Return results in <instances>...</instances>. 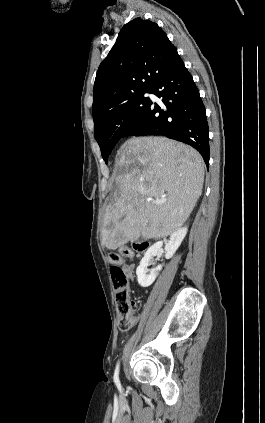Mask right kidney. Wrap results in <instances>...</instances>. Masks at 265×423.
I'll return each instance as SVG.
<instances>
[{"mask_svg": "<svg viewBox=\"0 0 265 423\" xmlns=\"http://www.w3.org/2000/svg\"><path fill=\"white\" fill-rule=\"evenodd\" d=\"M187 227H181L174 231L170 235V239L165 244V258L170 259L173 257L179 246L181 245L183 239L185 238L187 234ZM163 246L162 241H158L155 244H153L146 253L144 254V257L142 258L139 266L136 269V275L138 283L141 287H149L158 276L159 272L162 269V265H158L156 268H154L150 274H147L150 260L158 254V252L161 250Z\"/></svg>", "mask_w": 265, "mask_h": 423, "instance_id": "right-kidney-1", "label": "right kidney"}]
</instances>
